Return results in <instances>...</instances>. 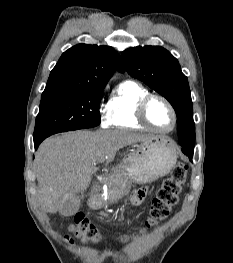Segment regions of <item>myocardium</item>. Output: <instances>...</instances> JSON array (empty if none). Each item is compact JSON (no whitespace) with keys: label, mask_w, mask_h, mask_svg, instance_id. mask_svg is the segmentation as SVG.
<instances>
[{"label":"myocardium","mask_w":233,"mask_h":263,"mask_svg":"<svg viewBox=\"0 0 233 263\" xmlns=\"http://www.w3.org/2000/svg\"><path fill=\"white\" fill-rule=\"evenodd\" d=\"M155 99L161 100L168 107L169 111L172 114V120H173L172 126L167 130H161V129L154 127L148 119V116H147L148 106L151 103V101H153ZM136 115H137L138 121L143 126L150 129L151 131H154V132L160 133V134L171 133L177 125V113H176L173 105L171 104V102L166 97L159 95V94H148L143 99H141L139 104H138V107H137Z\"/></svg>","instance_id":"f54148a6"}]
</instances>
